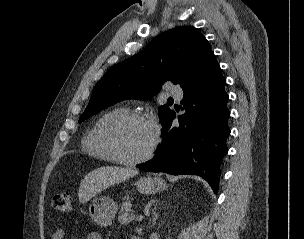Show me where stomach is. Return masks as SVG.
<instances>
[{
	"mask_svg": "<svg viewBox=\"0 0 304 239\" xmlns=\"http://www.w3.org/2000/svg\"><path fill=\"white\" fill-rule=\"evenodd\" d=\"M137 190L146 195L157 193L165 188V183L158 177L140 178L136 182ZM118 209L117 203L106 196L98 197L92 200L89 205V215L99 226H108Z\"/></svg>",
	"mask_w": 304,
	"mask_h": 239,
	"instance_id": "1",
	"label": "stomach"
}]
</instances>
